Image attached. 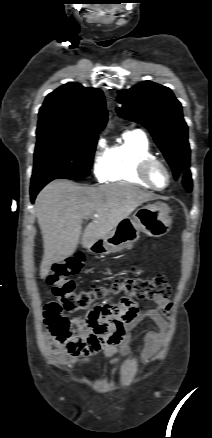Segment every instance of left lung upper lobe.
<instances>
[{
	"instance_id": "5c2ea615",
	"label": "left lung upper lobe",
	"mask_w": 212,
	"mask_h": 438,
	"mask_svg": "<svg viewBox=\"0 0 212 438\" xmlns=\"http://www.w3.org/2000/svg\"><path fill=\"white\" fill-rule=\"evenodd\" d=\"M118 93V115L142 124L151 132L170 164L174 178H180L190 167V147L182 106L172 91L144 81Z\"/></svg>"
}]
</instances>
